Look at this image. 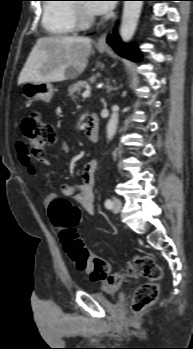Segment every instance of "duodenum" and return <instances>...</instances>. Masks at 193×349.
<instances>
[{"mask_svg": "<svg viewBox=\"0 0 193 349\" xmlns=\"http://www.w3.org/2000/svg\"><path fill=\"white\" fill-rule=\"evenodd\" d=\"M85 135L91 143H96L98 140V118L94 114L87 117Z\"/></svg>", "mask_w": 193, "mask_h": 349, "instance_id": "obj_1", "label": "duodenum"}]
</instances>
